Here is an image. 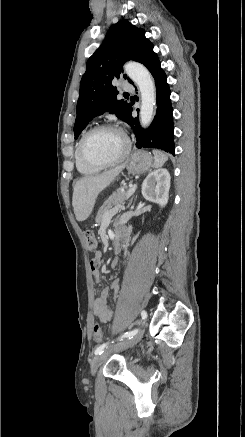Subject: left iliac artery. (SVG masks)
Here are the masks:
<instances>
[{"label":"left iliac artery","mask_w":245,"mask_h":437,"mask_svg":"<svg viewBox=\"0 0 245 437\" xmlns=\"http://www.w3.org/2000/svg\"><path fill=\"white\" fill-rule=\"evenodd\" d=\"M141 316H142V319L145 320V319L147 318V312H146L145 310L141 311ZM137 332H138V329H134V330H132V331H129V332L123 334L119 339H120V340H123V339H125V338H129V339H130V338H132V337H133ZM108 344H109V342H107V343H103L102 345H100V346L95 350V355H100V354H102V353H103V350H104L105 348H107Z\"/></svg>","instance_id":"obj_1"}]
</instances>
